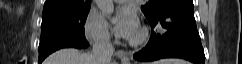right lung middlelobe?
<instances>
[{"instance_id":"1","label":"right lung middle lobe","mask_w":242,"mask_h":64,"mask_svg":"<svg viewBox=\"0 0 242 64\" xmlns=\"http://www.w3.org/2000/svg\"><path fill=\"white\" fill-rule=\"evenodd\" d=\"M89 10L52 12L42 15L39 62L61 48L82 49L89 46L84 35V24Z\"/></svg>"}]
</instances>
